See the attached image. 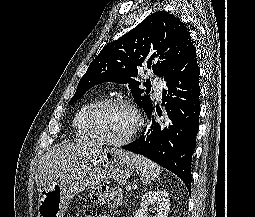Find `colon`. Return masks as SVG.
I'll return each mask as SVG.
<instances>
[{
	"label": "colon",
	"instance_id": "colon-1",
	"mask_svg": "<svg viewBox=\"0 0 255 217\" xmlns=\"http://www.w3.org/2000/svg\"><path fill=\"white\" fill-rule=\"evenodd\" d=\"M90 198L93 202L109 204L116 206L122 200L121 191L118 188H110L106 183H98L90 192Z\"/></svg>",
	"mask_w": 255,
	"mask_h": 217
}]
</instances>
